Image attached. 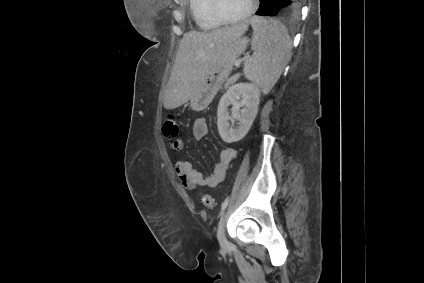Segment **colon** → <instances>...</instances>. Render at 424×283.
Wrapping results in <instances>:
<instances>
[{
    "instance_id": "colon-1",
    "label": "colon",
    "mask_w": 424,
    "mask_h": 283,
    "mask_svg": "<svg viewBox=\"0 0 424 283\" xmlns=\"http://www.w3.org/2000/svg\"><path fill=\"white\" fill-rule=\"evenodd\" d=\"M162 132L164 136L170 140V145L174 149L181 148V142L177 139L179 134V123L174 115H167L164 118L162 125ZM201 201L209 209L214 208L215 202L211 195L201 194Z\"/></svg>"
}]
</instances>
